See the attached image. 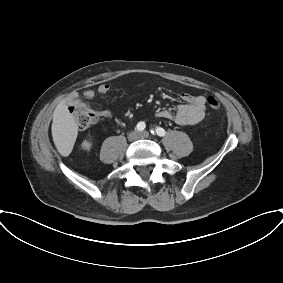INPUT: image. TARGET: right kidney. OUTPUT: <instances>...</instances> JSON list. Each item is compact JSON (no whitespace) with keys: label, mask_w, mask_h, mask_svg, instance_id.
I'll list each match as a JSON object with an SVG mask.
<instances>
[{"label":"right kidney","mask_w":283,"mask_h":283,"mask_svg":"<svg viewBox=\"0 0 283 283\" xmlns=\"http://www.w3.org/2000/svg\"><path fill=\"white\" fill-rule=\"evenodd\" d=\"M91 142L90 141H87V140H85V141H83V143H82V148L83 149H85V150H89L90 148H91Z\"/></svg>","instance_id":"1"}]
</instances>
